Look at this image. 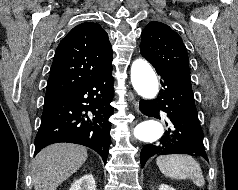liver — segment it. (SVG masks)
Returning a JSON list of instances; mask_svg holds the SVG:
<instances>
[{"label": "liver", "instance_id": "liver-1", "mask_svg": "<svg viewBox=\"0 0 238 190\" xmlns=\"http://www.w3.org/2000/svg\"><path fill=\"white\" fill-rule=\"evenodd\" d=\"M87 149L71 143H57L42 149L32 164L34 190H56L85 163Z\"/></svg>", "mask_w": 238, "mask_h": 190}]
</instances>
